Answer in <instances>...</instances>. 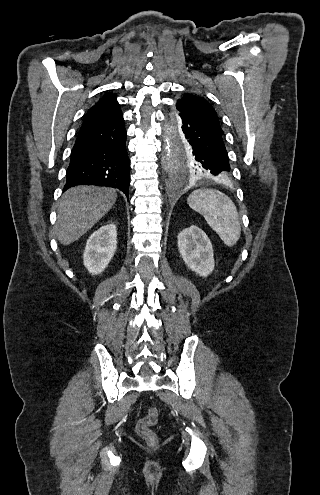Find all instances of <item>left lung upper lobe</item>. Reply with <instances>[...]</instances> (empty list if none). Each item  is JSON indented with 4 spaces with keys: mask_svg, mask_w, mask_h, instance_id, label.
I'll use <instances>...</instances> for the list:
<instances>
[{
    "mask_svg": "<svg viewBox=\"0 0 320 495\" xmlns=\"http://www.w3.org/2000/svg\"><path fill=\"white\" fill-rule=\"evenodd\" d=\"M177 111L172 115L170 161L173 171L183 170L190 177L212 178L200 160L199 150L190 145L183 137L178 113L194 114L198 119L205 121L220 134L219 118L211 104L199 94L189 92L180 96L176 103Z\"/></svg>",
    "mask_w": 320,
    "mask_h": 495,
    "instance_id": "obj_1",
    "label": "left lung upper lobe"
}]
</instances>
